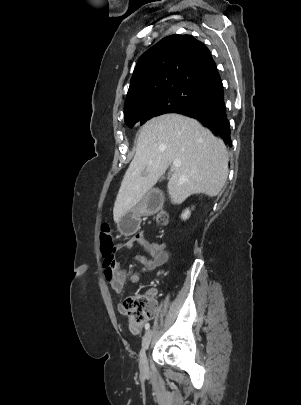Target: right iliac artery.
<instances>
[{"label":"right iliac artery","mask_w":301,"mask_h":405,"mask_svg":"<svg viewBox=\"0 0 301 405\" xmlns=\"http://www.w3.org/2000/svg\"><path fill=\"white\" fill-rule=\"evenodd\" d=\"M149 328H150V324H149V323H146V324H145V329L148 330Z\"/></svg>","instance_id":"1"}]
</instances>
